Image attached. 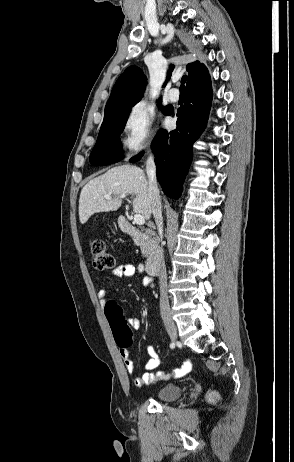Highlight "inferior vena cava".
Here are the masks:
<instances>
[{"instance_id": "1", "label": "inferior vena cava", "mask_w": 294, "mask_h": 462, "mask_svg": "<svg viewBox=\"0 0 294 462\" xmlns=\"http://www.w3.org/2000/svg\"><path fill=\"white\" fill-rule=\"evenodd\" d=\"M146 173L149 182V192L152 205V213L157 224L158 230L161 233L163 230L162 219V205L159 194V189L156 180V165L152 154L149 155L146 161ZM159 261L161 262V270L159 273L160 285V313L161 315L170 313V306L167 294V276L164 262L162 261V253L159 254Z\"/></svg>"}]
</instances>
